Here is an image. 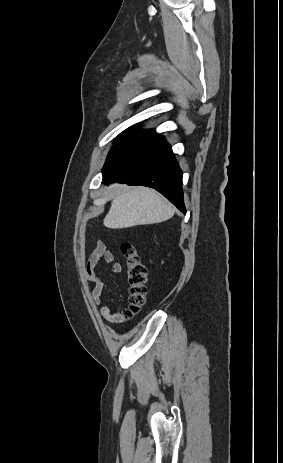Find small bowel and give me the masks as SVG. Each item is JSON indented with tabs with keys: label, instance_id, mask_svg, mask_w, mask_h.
<instances>
[{
	"label": "small bowel",
	"instance_id": "obj_1",
	"mask_svg": "<svg viewBox=\"0 0 283 463\" xmlns=\"http://www.w3.org/2000/svg\"><path fill=\"white\" fill-rule=\"evenodd\" d=\"M103 260L105 263L112 264V271L114 273L122 272V264L114 261V255L107 249V245L104 241L98 240L95 248L89 255L88 259L84 263L85 272L87 278L93 283V289L91 291V299L95 305L100 304V299L104 289L106 288V282L102 278L97 277L95 269L99 262ZM101 316L109 321L116 322L121 319V313H115L110 305H104L101 307Z\"/></svg>",
	"mask_w": 283,
	"mask_h": 463
}]
</instances>
